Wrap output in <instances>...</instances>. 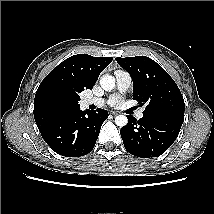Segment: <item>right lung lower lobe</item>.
Masks as SVG:
<instances>
[{"label":"right lung lower lobe","mask_w":214,"mask_h":214,"mask_svg":"<svg viewBox=\"0 0 214 214\" xmlns=\"http://www.w3.org/2000/svg\"><path fill=\"white\" fill-rule=\"evenodd\" d=\"M107 118L108 112L100 108L85 112L76 108L57 116L39 131L53 151L65 157H78L92 151Z\"/></svg>","instance_id":"obj_1"}]
</instances>
